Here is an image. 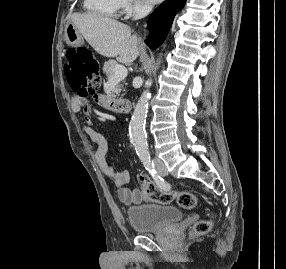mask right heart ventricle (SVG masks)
I'll list each match as a JSON object with an SVG mask.
<instances>
[{
    "mask_svg": "<svg viewBox=\"0 0 286 269\" xmlns=\"http://www.w3.org/2000/svg\"><path fill=\"white\" fill-rule=\"evenodd\" d=\"M83 6L93 16L114 19L123 8V0H84Z\"/></svg>",
    "mask_w": 286,
    "mask_h": 269,
    "instance_id": "obj_1",
    "label": "right heart ventricle"
}]
</instances>
